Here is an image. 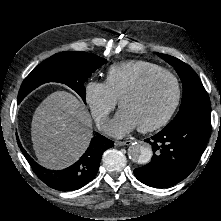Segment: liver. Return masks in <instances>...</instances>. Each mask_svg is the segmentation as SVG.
<instances>
[{
	"label": "liver",
	"mask_w": 221,
	"mask_h": 221,
	"mask_svg": "<svg viewBox=\"0 0 221 221\" xmlns=\"http://www.w3.org/2000/svg\"><path fill=\"white\" fill-rule=\"evenodd\" d=\"M90 113L73 94L56 91L37 107L31 123V139L40 165L64 169L86 151L92 138Z\"/></svg>",
	"instance_id": "1"
}]
</instances>
